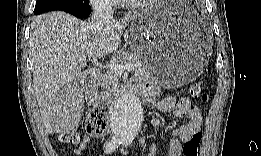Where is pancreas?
I'll list each match as a JSON object with an SVG mask.
<instances>
[{"label":"pancreas","mask_w":261,"mask_h":156,"mask_svg":"<svg viewBox=\"0 0 261 156\" xmlns=\"http://www.w3.org/2000/svg\"><path fill=\"white\" fill-rule=\"evenodd\" d=\"M111 64H133L135 67L134 71L136 73H149L148 64L143 61L141 55L135 51L116 57ZM99 81L102 88V96L116 95L119 92L118 75H116L110 68H108L106 72L100 76Z\"/></svg>","instance_id":"cf45deb5"}]
</instances>
